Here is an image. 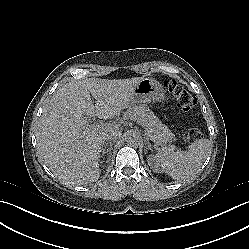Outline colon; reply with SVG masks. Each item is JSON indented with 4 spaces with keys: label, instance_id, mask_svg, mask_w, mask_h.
<instances>
[{
    "label": "colon",
    "instance_id": "colon-1",
    "mask_svg": "<svg viewBox=\"0 0 249 249\" xmlns=\"http://www.w3.org/2000/svg\"><path fill=\"white\" fill-rule=\"evenodd\" d=\"M163 86L168 90L178 107L185 112L192 111L196 106V98L182 85L174 80H165ZM202 133L199 128H191L187 131L188 141L194 142L200 139Z\"/></svg>",
    "mask_w": 249,
    "mask_h": 249
}]
</instances>
